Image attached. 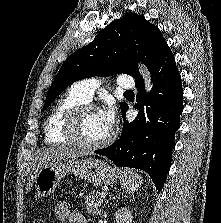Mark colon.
<instances>
[{"instance_id": "obj_1", "label": "colon", "mask_w": 221, "mask_h": 223, "mask_svg": "<svg viewBox=\"0 0 221 223\" xmlns=\"http://www.w3.org/2000/svg\"><path fill=\"white\" fill-rule=\"evenodd\" d=\"M33 223H47V219L44 218L43 216H37L34 219Z\"/></svg>"}]
</instances>
